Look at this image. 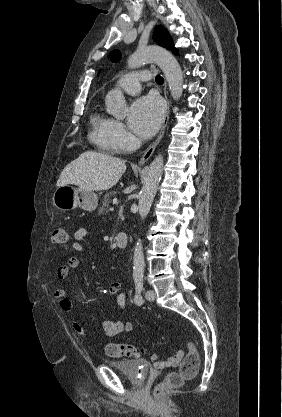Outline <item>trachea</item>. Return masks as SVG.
<instances>
[{"mask_svg":"<svg viewBox=\"0 0 282 417\" xmlns=\"http://www.w3.org/2000/svg\"><path fill=\"white\" fill-rule=\"evenodd\" d=\"M156 83H158V85H162V83L164 82L163 77H161V75H156L155 78Z\"/></svg>","mask_w":282,"mask_h":417,"instance_id":"obj_1","label":"trachea"}]
</instances>
